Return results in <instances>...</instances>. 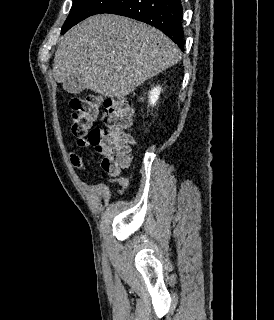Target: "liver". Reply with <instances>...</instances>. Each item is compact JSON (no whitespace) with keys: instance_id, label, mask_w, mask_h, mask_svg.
I'll return each mask as SVG.
<instances>
[{"instance_id":"obj_1","label":"liver","mask_w":274,"mask_h":320,"mask_svg":"<svg viewBox=\"0 0 274 320\" xmlns=\"http://www.w3.org/2000/svg\"><path fill=\"white\" fill-rule=\"evenodd\" d=\"M180 60L179 48L156 28L123 16L98 14L63 36L53 76L70 94L86 88L105 98H124Z\"/></svg>"}]
</instances>
